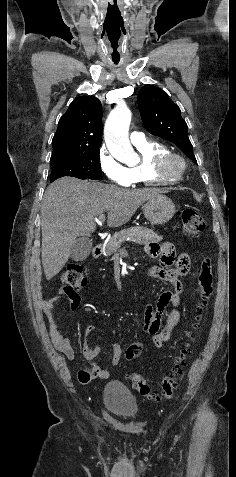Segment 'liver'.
<instances>
[{
	"label": "liver",
	"instance_id": "obj_1",
	"mask_svg": "<svg viewBox=\"0 0 236 477\" xmlns=\"http://www.w3.org/2000/svg\"><path fill=\"white\" fill-rule=\"evenodd\" d=\"M163 192L157 188L130 190L72 177L53 182L41 206V253L46 279L51 280L62 270L78 236L89 237L96 230L97 216L107 212V225L120 227L144 202Z\"/></svg>",
	"mask_w": 236,
	"mask_h": 477
}]
</instances>
